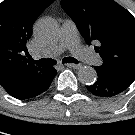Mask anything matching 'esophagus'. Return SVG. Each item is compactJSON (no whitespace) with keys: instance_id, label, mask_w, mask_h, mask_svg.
<instances>
[{"instance_id":"1","label":"esophagus","mask_w":135,"mask_h":135,"mask_svg":"<svg viewBox=\"0 0 135 135\" xmlns=\"http://www.w3.org/2000/svg\"><path fill=\"white\" fill-rule=\"evenodd\" d=\"M66 66L73 69H80L82 67L81 64H66Z\"/></svg>"}]
</instances>
